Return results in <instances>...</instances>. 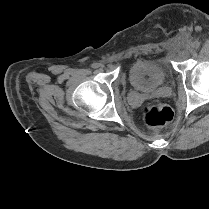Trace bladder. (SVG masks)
Returning a JSON list of instances; mask_svg holds the SVG:
<instances>
[{"label": "bladder", "mask_w": 209, "mask_h": 209, "mask_svg": "<svg viewBox=\"0 0 209 209\" xmlns=\"http://www.w3.org/2000/svg\"><path fill=\"white\" fill-rule=\"evenodd\" d=\"M168 78L164 63L158 58L135 61L128 69L131 86L138 91L151 93L161 87Z\"/></svg>", "instance_id": "1"}]
</instances>
